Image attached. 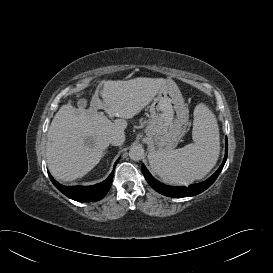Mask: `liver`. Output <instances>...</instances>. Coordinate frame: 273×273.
<instances>
[{
	"label": "liver",
	"instance_id": "6515ba94",
	"mask_svg": "<svg viewBox=\"0 0 273 273\" xmlns=\"http://www.w3.org/2000/svg\"><path fill=\"white\" fill-rule=\"evenodd\" d=\"M163 78L138 77L126 81L108 80L101 86L103 103L98 91L88 109L63 105L48 129L47 164L58 180L73 181L91 171L109 146L108 136L127 126L124 119L138 114L157 95ZM107 110L121 119L111 122L98 109Z\"/></svg>",
	"mask_w": 273,
	"mask_h": 273
}]
</instances>
